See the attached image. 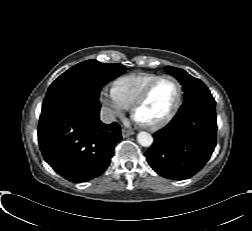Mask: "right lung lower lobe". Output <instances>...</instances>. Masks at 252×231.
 <instances>
[{"label": "right lung lower lobe", "mask_w": 252, "mask_h": 231, "mask_svg": "<svg viewBox=\"0 0 252 231\" xmlns=\"http://www.w3.org/2000/svg\"><path fill=\"white\" fill-rule=\"evenodd\" d=\"M100 107L62 102L42 110L38 138L45 161L71 182H85L109 166L120 126L104 124Z\"/></svg>", "instance_id": "obj_1"}]
</instances>
